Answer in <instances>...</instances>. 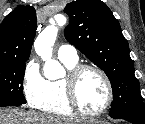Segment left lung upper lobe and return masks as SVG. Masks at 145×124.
I'll return each mask as SVG.
<instances>
[{"mask_svg": "<svg viewBox=\"0 0 145 124\" xmlns=\"http://www.w3.org/2000/svg\"><path fill=\"white\" fill-rule=\"evenodd\" d=\"M70 17L65 37L110 79L113 102L110 116L145 122V105L140 96L129 46L118 20L100 0H76L64 9Z\"/></svg>", "mask_w": 145, "mask_h": 124, "instance_id": "obj_1", "label": "left lung upper lobe"}]
</instances>
